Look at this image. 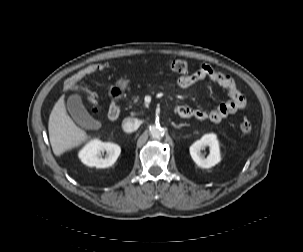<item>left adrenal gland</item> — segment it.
<instances>
[{
    "label": "left adrenal gland",
    "instance_id": "a2214340",
    "mask_svg": "<svg viewBox=\"0 0 303 252\" xmlns=\"http://www.w3.org/2000/svg\"><path fill=\"white\" fill-rule=\"evenodd\" d=\"M173 126H174L175 128H177V129H179V128L183 127V126H187V124H186V123H184V124H179V125L173 124Z\"/></svg>",
    "mask_w": 303,
    "mask_h": 252
}]
</instances>
